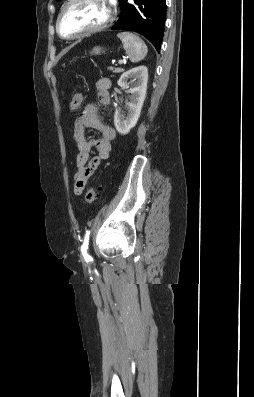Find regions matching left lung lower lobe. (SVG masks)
Returning a JSON list of instances; mask_svg holds the SVG:
<instances>
[{
	"label": "left lung lower lobe",
	"instance_id": "obj_1",
	"mask_svg": "<svg viewBox=\"0 0 254 397\" xmlns=\"http://www.w3.org/2000/svg\"><path fill=\"white\" fill-rule=\"evenodd\" d=\"M121 14L112 30H130L145 36L160 52L166 20V0H119Z\"/></svg>",
	"mask_w": 254,
	"mask_h": 397
}]
</instances>
